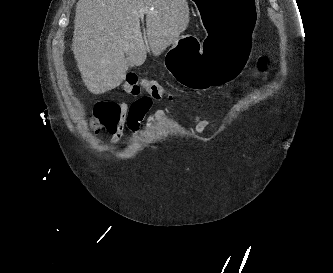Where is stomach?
<instances>
[{
    "label": "stomach",
    "mask_w": 333,
    "mask_h": 273,
    "mask_svg": "<svg viewBox=\"0 0 333 273\" xmlns=\"http://www.w3.org/2000/svg\"><path fill=\"white\" fill-rule=\"evenodd\" d=\"M204 28L197 53L195 36L182 35L167 53V67L185 87L207 90L243 75L253 51V28L258 23L257 0H192Z\"/></svg>",
    "instance_id": "obj_1"
}]
</instances>
